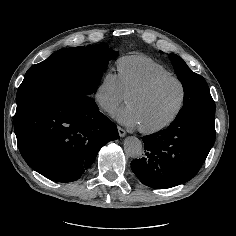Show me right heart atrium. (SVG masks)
<instances>
[{
	"mask_svg": "<svg viewBox=\"0 0 236 236\" xmlns=\"http://www.w3.org/2000/svg\"><path fill=\"white\" fill-rule=\"evenodd\" d=\"M93 97L105 112H112L126 102L128 94L123 90L118 73L108 70L94 89Z\"/></svg>",
	"mask_w": 236,
	"mask_h": 236,
	"instance_id": "d8ad5b80",
	"label": "right heart atrium"
}]
</instances>
